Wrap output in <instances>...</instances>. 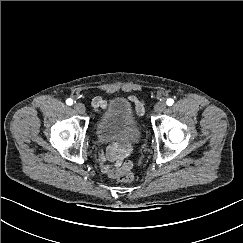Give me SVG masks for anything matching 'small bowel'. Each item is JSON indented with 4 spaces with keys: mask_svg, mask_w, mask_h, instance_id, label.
Here are the masks:
<instances>
[{
    "mask_svg": "<svg viewBox=\"0 0 243 243\" xmlns=\"http://www.w3.org/2000/svg\"><path fill=\"white\" fill-rule=\"evenodd\" d=\"M129 100L135 104L137 113L142 115L145 111V103L135 96L129 97ZM91 105L94 110L100 112L106 109L107 101L101 97H95ZM130 153V142H127L125 147H119L118 145L108 147L106 151L101 152L100 155L102 172L111 179L118 178L125 170L132 166L130 162L125 161V158L128 157Z\"/></svg>",
    "mask_w": 243,
    "mask_h": 243,
    "instance_id": "small-bowel-1",
    "label": "small bowel"
}]
</instances>
